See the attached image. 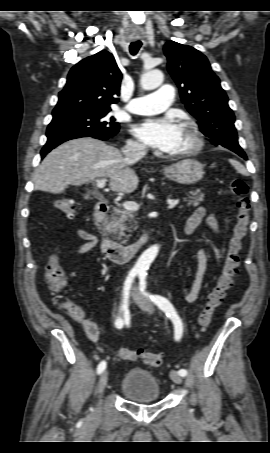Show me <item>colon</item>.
<instances>
[{
  "label": "colon",
  "instance_id": "5ec220e1",
  "mask_svg": "<svg viewBox=\"0 0 270 453\" xmlns=\"http://www.w3.org/2000/svg\"><path fill=\"white\" fill-rule=\"evenodd\" d=\"M230 191L237 198L236 223L232 237L229 240L221 273L215 285L208 292L205 304L198 317V324L202 332L210 325L215 310L222 304L227 291L233 284V279L240 263L242 242L248 233L250 225L251 200L248 196V184L241 178H234L230 181ZM55 207L68 218H74L78 213V203L72 199H59L55 202ZM45 281L52 290H59L64 284L65 273L56 251L52 253L47 262ZM61 307L73 318H78L82 315L79 306L75 303L63 302ZM137 352L142 361L148 365L158 367L162 364V357L158 353L142 349Z\"/></svg>",
  "mask_w": 270,
  "mask_h": 453
}]
</instances>
